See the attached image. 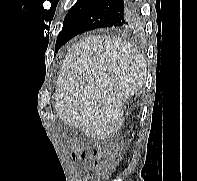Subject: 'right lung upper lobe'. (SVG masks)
<instances>
[{"label": "right lung upper lobe", "mask_w": 197, "mask_h": 181, "mask_svg": "<svg viewBox=\"0 0 197 181\" xmlns=\"http://www.w3.org/2000/svg\"><path fill=\"white\" fill-rule=\"evenodd\" d=\"M98 0H77L75 5L71 8V10H76V9H87L89 6H91L93 3H95ZM128 27H121L117 28L118 31H127Z\"/></svg>", "instance_id": "1"}]
</instances>
